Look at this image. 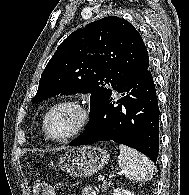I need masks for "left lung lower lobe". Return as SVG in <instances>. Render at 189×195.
I'll return each instance as SVG.
<instances>
[{
    "label": "left lung lower lobe",
    "mask_w": 189,
    "mask_h": 195,
    "mask_svg": "<svg viewBox=\"0 0 189 195\" xmlns=\"http://www.w3.org/2000/svg\"><path fill=\"white\" fill-rule=\"evenodd\" d=\"M115 91L92 116L85 132L70 146L114 141L142 152L156 163L159 151V108L149 67ZM116 94L122 98L115 101Z\"/></svg>",
    "instance_id": "0a47b994"
}]
</instances>
